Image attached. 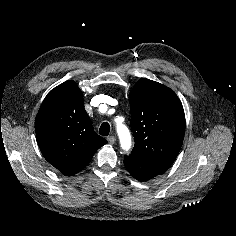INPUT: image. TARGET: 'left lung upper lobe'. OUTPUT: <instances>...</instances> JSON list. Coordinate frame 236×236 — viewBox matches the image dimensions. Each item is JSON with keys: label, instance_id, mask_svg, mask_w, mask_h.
<instances>
[{"label": "left lung upper lobe", "instance_id": "left-lung-upper-lobe-1", "mask_svg": "<svg viewBox=\"0 0 236 236\" xmlns=\"http://www.w3.org/2000/svg\"><path fill=\"white\" fill-rule=\"evenodd\" d=\"M132 154L172 165L185 134V116L177 95L158 82L141 78L130 93Z\"/></svg>", "mask_w": 236, "mask_h": 236}]
</instances>
